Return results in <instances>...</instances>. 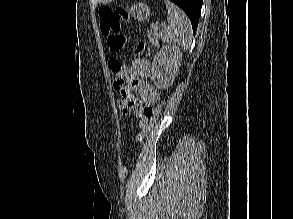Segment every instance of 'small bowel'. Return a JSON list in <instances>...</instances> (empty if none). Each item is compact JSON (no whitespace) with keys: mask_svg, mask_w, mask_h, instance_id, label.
Masks as SVG:
<instances>
[{"mask_svg":"<svg viewBox=\"0 0 293 219\" xmlns=\"http://www.w3.org/2000/svg\"><path fill=\"white\" fill-rule=\"evenodd\" d=\"M149 75V61L146 58L137 59L122 73L121 85L114 83L122 114H134L142 129L149 123L152 106L159 100L158 91L148 81ZM134 90L138 91L139 98L134 96Z\"/></svg>","mask_w":293,"mask_h":219,"instance_id":"small-bowel-1","label":"small bowel"}]
</instances>
